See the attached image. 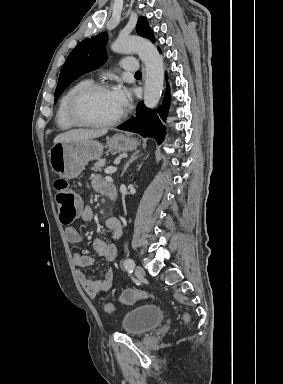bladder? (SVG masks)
Segmentation results:
<instances>
[{
    "instance_id": "31cf9c89",
    "label": "bladder",
    "mask_w": 283,
    "mask_h": 384,
    "mask_svg": "<svg viewBox=\"0 0 283 384\" xmlns=\"http://www.w3.org/2000/svg\"><path fill=\"white\" fill-rule=\"evenodd\" d=\"M164 321V313L155 303H142L124 312L120 326L124 334L142 336Z\"/></svg>"
}]
</instances>
